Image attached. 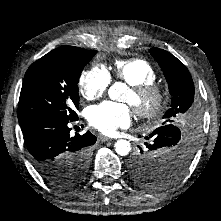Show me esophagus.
I'll return each mask as SVG.
<instances>
[{
  "instance_id": "obj_1",
  "label": "esophagus",
  "mask_w": 221,
  "mask_h": 221,
  "mask_svg": "<svg viewBox=\"0 0 221 221\" xmlns=\"http://www.w3.org/2000/svg\"><path fill=\"white\" fill-rule=\"evenodd\" d=\"M99 139H100L102 142L111 141V140H112L111 138L106 137V136H103V135H100V136H99Z\"/></svg>"
}]
</instances>
